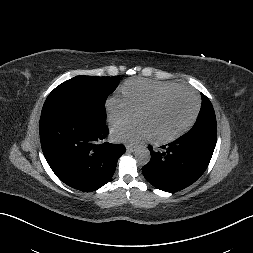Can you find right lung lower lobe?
<instances>
[{
    "mask_svg": "<svg viewBox=\"0 0 253 253\" xmlns=\"http://www.w3.org/2000/svg\"><path fill=\"white\" fill-rule=\"evenodd\" d=\"M43 154L55 175L68 186L91 192L114 174L123 144L103 142L109 134L105 121L60 108L43 111L39 123Z\"/></svg>",
    "mask_w": 253,
    "mask_h": 253,
    "instance_id": "98d812e1",
    "label": "right lung lower lobe"
}]
</instances>
